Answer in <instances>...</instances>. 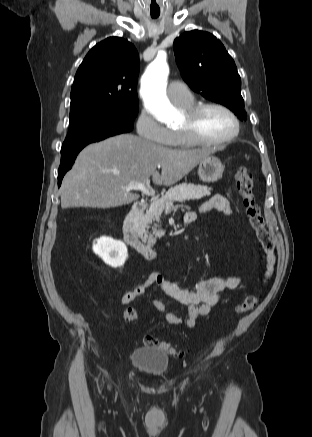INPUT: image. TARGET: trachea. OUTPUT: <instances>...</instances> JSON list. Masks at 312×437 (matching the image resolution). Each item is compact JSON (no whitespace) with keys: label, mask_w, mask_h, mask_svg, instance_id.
I'll list each match as a JSON object with an SVG mask.
<instances>
[{"label":"trachea","mask_w":312,"mask_h":437,"mask_svg":"<svg viewBox=\"0 0 312 437\" xmlns=\"http://www.w3.org/2000/svg\"><path fill=\"white\" fill-rule=\"evenodd\" d=\"M151 17H152L153 19H156V18H158V15H151Z\"/></svg>","instance_id":"trachea-1"}]
</instances>
